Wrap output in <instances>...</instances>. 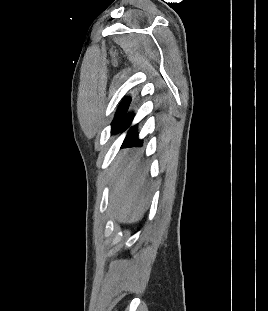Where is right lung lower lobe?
<instances>
[{"instance_id":"98d812e1","label":"right lung lower lobe","mask_w":268,"mask_h":311,"mask_svg":"<svg viewBox=\"0 0 268 311\" xmlns=\"http://www.w3.org/2000/svg\"><path fill=\"white\" fill-rule=\"evenodd\" d=\"M134 113H129V106L124 114V116L119 120V122L112 128L111 134H117L119 132H124L128 129L125 140L122 147L138 145L141 146L143 140H140L137 134L138 125L131 126Z\"/></svg>"}]
</instances>
